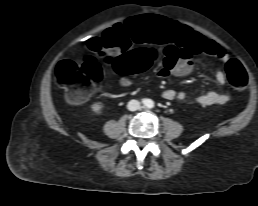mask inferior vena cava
<instances>
[{
  "label": "inferior vena cava",
  "instance_id": "1",
  "mask_svg": "<svg viewBox=\"0 0 258 206\" xmlns=\"http://www.w3.org/2000/svg\"><path fill=\"white\" fill-rule=\"evenodd\" d=\"M128 110L136 111L140 108V102L138 100H131L127 105Z\"/></svg>",
  "mask_w": 258,
  "mask_h": 206
}]
</instances>
